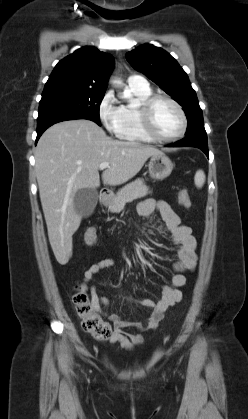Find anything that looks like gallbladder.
<instances>
[{"mask_svg": "<svg viewBox=\"0 0 248 419\" xmlns=\"http://www.w3.org/2000/svg\"><path fill=\"white\" fill-rule=\"evenodd\" d=\"M98 192L92 188L80 189L74 197V209L83 217L90 216L98 201Z\"/></svg>", "mask_w": 248, "mask_h": 419, "instance_id": "1", "label": "gallbladder"}]
</instances>
